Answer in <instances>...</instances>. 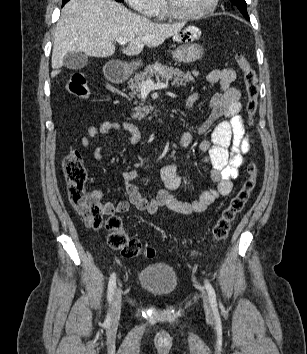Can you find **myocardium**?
I'll return each mask as SVG.
<instances>
[{
	"label": "myocardium",
	"mask_w": 307,
	"mask_h": 354,
	"mask_svg": "<svg viewBox=\"0 0 307 354\" xmlns=\"http://www.w3.org/2000/svg\"><path fill=\"white\" fill-rule=\"evenodd\" d=\"M219 3V0H211L209 5L201 12L194 13V14H185L177 11L174 6L172 5L170 0H162V5L166 15L175 20H199L202 18L207 17L212 12L215 11Z\"/></svg>",
	"instance_id": "myocardium-1"
}]
</instances>
